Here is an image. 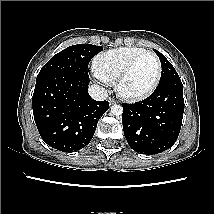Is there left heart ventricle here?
Returning a JSON list of instances; mask_svg holds the SVG:
<instances>
[{
	"instance_id": "1",
	"label": "left heart ventricle",
	"mask_w": 214,
	"mask_h": 214,
	"mask_svg": "<svg viewBox=\"0 0 214 214\" xmlns=\"http://www.w3.org/2000/svg\"><path fill=\"white\" fill-rule=\"evenodd\" d=\"M156 73L155 60L150 55H146L134 65L122 84V90L128 94L142 93L153 84Z\"/></svg>"
}]
</instances>
